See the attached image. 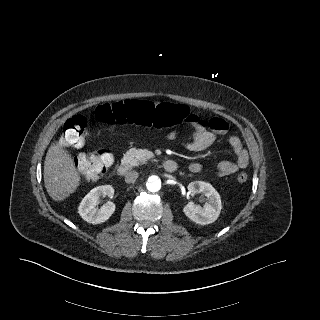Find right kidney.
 I'll return each mask as SVG.
<instances>
[{
    "mask_svg": "<svg viewBox=\"0 0 320 320\" xmlns=\"http://www.w3.org/2000/svg\"><path fill=\"white\" fill-rule=\"evenodd\" d=\"M114 189L110 185L98 186L93 188L81 201L78 213L88 223L101 224L107 221L115 211V204L111 201L106 202L101 208L97 207L101 196L112 197Z\"/></svg>",
    "mask_w": 320,
    "mask_h": 320,
    "instance_id": "1",
    "label": "right kidney"
}]
</instances>
